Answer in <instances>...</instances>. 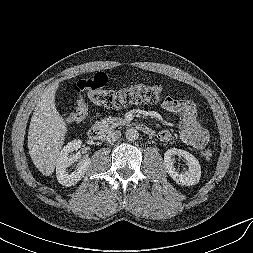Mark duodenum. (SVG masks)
I'll return each mask as SVG.
<instances>
[{
	"label": "duodenum",
	"instance_id": "duodenum-1",
	"mask_svg": "<svg viewBox=\"0 0 253 253\" xmlns=\"http://www.w3.org/2000/svg\"><path fill=\"white\" fill-rule=\"evenodd\" d=\"M138 128L145 134L147 135H152L153 134V130L152 128L147 125V124H139L138 125ZM88 137L91 139V140H94V141H97V140H100L102 135H103V131L101 129L100 126L98 125H92L89 130H88Z\"/></svg>",
	"mask_w": 253,
	"mask_h": 253
}]
</instances>
